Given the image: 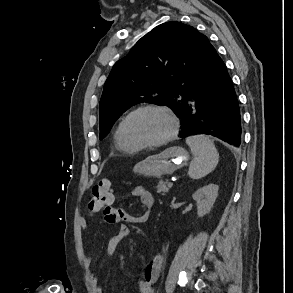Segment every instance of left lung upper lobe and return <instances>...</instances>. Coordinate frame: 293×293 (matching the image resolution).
<instances>
[{
  "label": "left lung upper lobe",
  "mask_w": 293,
  "mask_h": 293,
  "mask_svg": "<svg viewBox=\"0 0 293 293\" xmlns=\"http://www.w3.org/2000/svg\"><path fill=\"white\" fill-rule=\"evenodd\" d=\"M212 47L205 35L181 22L163 23L143 36L105 82L100 139L138 103L165 105L178 114L186 93L202 80Z\"/></svg>",
  "instance_id": "1"
}]
</instances>
